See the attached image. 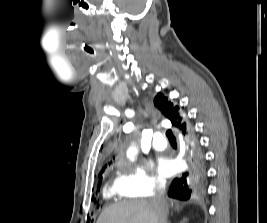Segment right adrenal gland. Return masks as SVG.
Instances as JSON below:
<instances>
[{"label": "right adrenal gland", "instance_id": "2a0ac1e0", "mask_svg": "<svg viewBox=\"0 0 267 223\" xmlns=\"http://www.w3.org/2000/svg\"><path fill=\"white\" fill-rule=\"evenodd\" d=\"M187 222H188V219L184 218L180 223H187Z\"/></svg>", "mask_w": 267, "mask_h": 223}]
</instances>
